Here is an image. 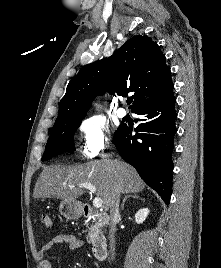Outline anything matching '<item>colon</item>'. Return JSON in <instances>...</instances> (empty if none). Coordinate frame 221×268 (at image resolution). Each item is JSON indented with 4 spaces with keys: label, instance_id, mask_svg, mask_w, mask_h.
I'll use <instances>...</instances> for the list:
<instances>
[{
    "label": "colon",
    "instance_id": "5ec220e1",
    "mask_svg": "<svg viewBox=\"0 0 221 268\" xmlns=\"http://www.w3.org/2000/svg\"><path fill=\"white\" fill-rule=\"evenodd\" d=\"M41 222L47 229H52L54 226L51 217L47 213L41 215Z\"/></svg>",
    "mask_w": 221,
    "mask_h": 268
}]
</instances>
